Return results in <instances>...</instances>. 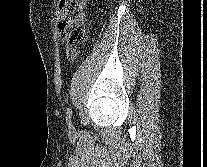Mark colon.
<instances>
[{
	"label": "colon",
	"instance_id": "colon-1",
	"mask_svg": "<svg viewBox=\"0 0 207 167\" xmlns=\"http://www.w3.org/2000/svg\"><path fill=\"white\" fill-rule=\"evenodd\" d=\"M87 0H61L59 8L58 28L66 45L74 44L86 39L84 18Z\"/></svg>",
	"mask_w": 207,
	"mask_h": 167
}]
</instances>
